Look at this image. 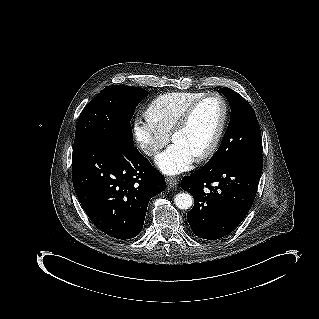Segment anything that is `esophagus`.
I'll use <instances>...</instances> for the list:
<instances>
[{
	"label": "esophagus",
	"instance_id": "1",
	"mask_svg": "<svg viewBox=\"0 0 319 319\" xmlns=\"http://www.w3.org/2000/svg\"><path fill=\"white\" fill-rule=\"evenodd\" d=\"M166 184L168 185V187H174L178 184V179L175 177H167L166 178Z\"/></svg>",
	"mask_w": 319,
	"mask_h": 319
}]
</instances>
